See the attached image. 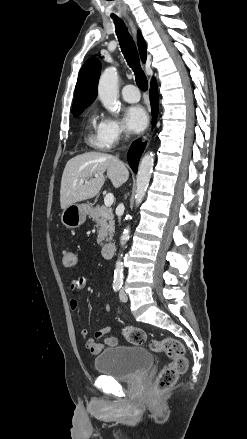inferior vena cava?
I'll return each mask as SVG.
<instances>
[{
    "label": "inferior vena cava",
    "mask_w": 247,
    "mask_h": 439,
    "mask_svg": "<svg viewBox=\"0 0 247 439\" xmlns=\"http://www.w3.org/2000/svg\"><path fill=\"white\" fill-rule=\"evenodd\" d=\"M123 209H124L123 204H120V205L117 207V209H116V214H117L118 216H120V215H121V212L123 211Z\"/></svg>",
    "instance_id": "inferior-vena-cava-1"
}]
</instances>
